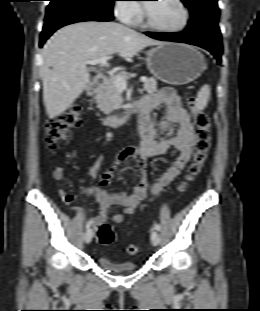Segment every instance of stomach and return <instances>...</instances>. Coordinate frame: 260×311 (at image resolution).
Here are the masks:
<instances>
[{"label": "stomach", "instance_id": "stomach-1", "mask_svg": "<svg viewBox=\"0 0 260 311\" xmlns=\"http://www.w3.org/2000/svg\"><path fill=\"white\" fill-rule=\"evenodd\" d=\"M146 54L149 71L171 85L188 84L205 70L204 56L190 45L163 43Z\"/></svg>", "mask_w": 260, "mask_h": 311}]
</instances>
